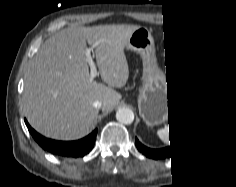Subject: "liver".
<instances>
[{
  "instance_id": "liver-1",
  "label": "liver",
  "mask_w": 236,
  "mask_h": 187,
  "mask_svg": "<svg viewBox=\"0 0 236 187\" xmlns=\"http://www.w3.org/2000/svg\"><path fill=\"white\" fill-rule=\"evenodd\" d=\"M137 25L70 26L40 47L25 74L24 105L31 126L46 137L75 140L87 135L98 117L95 101L110 112L129 77L124 48ZM95 46L101 79L91 80L85 51Z\"/></svg>"
}]
</instances>
